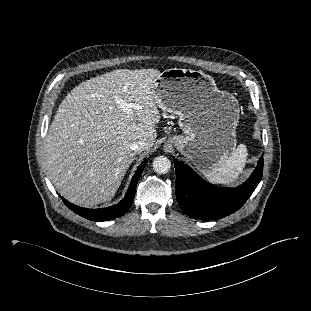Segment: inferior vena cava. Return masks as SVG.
Listing matches in <instances>:
<instances>
[{"label":"inferior vena cava","instance_id":"1","mask_svg":"<svg viewBox=\"0 0 311 311\" xmlns=\"http://www.w3.org/2000/svg\"><path fill=\"white\" fill-rule=\"evenodd\" d=\"M144 145V141L135 142L130 145V149L136 153L139 152L144 147Z\"/></svg>","mask_w":311,"mask_h":311}]
</instances>
